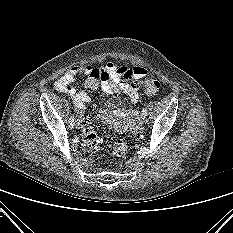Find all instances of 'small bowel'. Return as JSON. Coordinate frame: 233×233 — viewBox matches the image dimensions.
<instances>
[{
  "label": "small bowel",
  "instance_id": "c3829d8e",
  "mask_svg": "<svg viewBox=\"0 0 233 233\" xmlns=\"http://www.w3.org/2000/svg\"><path fill=\"white\" fill-rule=\"evenodd\" d=\"M93 69L90 65L75 66L64 73L56 83L60 91L67 93L73 99L80 118L85 116L86 105L90 102V97L85 92L78 91L73 86V82L78 75L88 76ZM101 70L108 76V79L101 84L104 92L112 96L123 92L131 98L132 102H138L140 79L148 74L145 68L116 66L108 62Z\"/></svg>",
  "mask_w": 233,
  "mask_h": 233
}]
</instances>
